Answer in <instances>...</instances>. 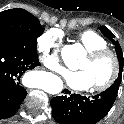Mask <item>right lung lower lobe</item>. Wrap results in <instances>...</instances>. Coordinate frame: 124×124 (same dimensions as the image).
Segmentation results:
<instances>
[{"mask_svg": "<svg viewBox=\"0 0 124 124\" xmlns=\"http://www.w3.org/2000/svg\"><path fill=\"white\" fill-rule=\"evenodd\" d=\"M38 65L37 48L25 40L0 38V120L17 111L27 94L20 78Z\"/></svg>", "mask_w": 124, "mask_h": 124, "instance_id": "obj_1", "label": "right lung lower lobe"}]
</instances>
